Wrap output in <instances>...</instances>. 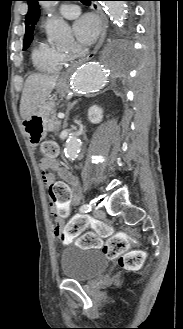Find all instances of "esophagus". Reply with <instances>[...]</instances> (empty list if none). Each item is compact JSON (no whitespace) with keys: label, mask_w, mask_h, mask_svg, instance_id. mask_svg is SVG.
Masks as SVG:
<instances>
[{"label":"esophagus","mask_w":183,"mask_h":329,"mask_svg":"<svg viewBox=\"0 0 183 329\" xmlns=\"http://www.w3.org/2000/svg\"><path fill=\"white\" fill-rule=\"evenodd\" d=\"M92 8L96 12V14L99 16V19H100V22H101L100 38H99L95 48L89 54H87L85 57H83L82 60H79L78 63L73 66V68L76 67L77 65L83 63L84 61H87V60H90L91 58H93L95 56V54L97 53L98 49L104 43V40H105V37H106L108 22H107V19H106L105 15H104V12H103L102 8L100 7V5L95 1L92 3ZM66 78H67V74H64L60 78V80L65 81Z\"/></svg>","instance_id":"1"}]
</instances>
